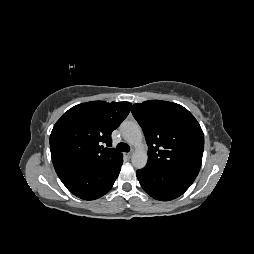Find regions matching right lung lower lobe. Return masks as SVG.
I'll return each mask as SVG.
<instances>
[{
  "label": "right lung lower lobe",
  "instance_id": "obj_1",
  "mask_svg": "<svg viewBox=\"0 0 254 254\" xmlns=\"http://www.w3.org/2000/svg\"><path fill=\"white\" fill-rule=\"evenodd\" d=\"M122 163L123 156L105 164L72 167L57 174L72 194L84 200H93L112 188Z\"/></svg>",
  "mask_w": 254,
  "mask_h": 254
}]
</instances>
